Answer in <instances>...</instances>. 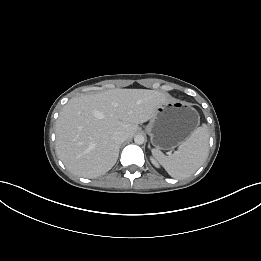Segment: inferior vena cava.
I'll use <instances>...</instances> for the list:
<instances>
[{"label":"inferior vena cava","instance_id":"602c4592","mask_svg":"<svg viewBox=\"0 0 261 261\" xmlns=\"http://www.w3.org/2000/svg\"><path fill=\"white\" fill-rule=\"evenodd\" d=\"M127 135L124 132H116L113 135V139L115 140L116 143L122 144L125 140H127Z\"/></svg>","mask_w":261,"mask_h":261}]
</instances>
